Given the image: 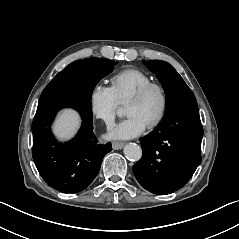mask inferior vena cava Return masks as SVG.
<instances>
[{
	"mask_svg": "<svg viewBox=\"0 0 239 239\" xmlns=\"http://www.w3.org/2000/svg\"><path fill=\"white\" fill-rule=\"evenodd\" d=\"M106 125H107V129L108 130H112L114 127H115V123H114V121H107L106 122Z\"/></svg>",
	"mask_w": 239,
	"mask_h": 239,
	"instance_id": "obj_1",
	"label": "inferior vena cava"
}]
</instances>
